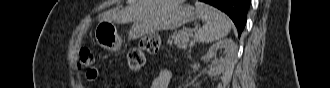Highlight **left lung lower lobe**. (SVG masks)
Returning a JSON list of instances; mask_svg holds the SVG:
<instances>
[{
  "label": "left lung lower lobe",
  "mask_w": 330,
  "mask_h": 88,
  "mask_svg": "<svg viewBox=\"0 0 330 88\" xmlns=\"http://www.w3.org/2000/svg\"><path fill=\"white\" fill-rule=\"evenodd\" d=\"M225 12L234 22L240 37L246 24L247 11L251 0H200Z\"/></svg>",
  "instance_id": "0a47b994"
}]
</instances>
